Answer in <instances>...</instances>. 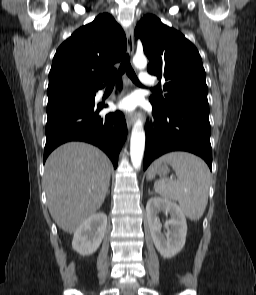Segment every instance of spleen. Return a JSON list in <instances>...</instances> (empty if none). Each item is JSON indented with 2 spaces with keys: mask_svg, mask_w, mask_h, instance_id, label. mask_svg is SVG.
<instances>
[{
  "mask_svg": "<svg viewBox=\"0 0 256 295\" xmlns=\"http://www.w3.org/2000/svg\"><path fill=\"white\" fill-rule=\"evenodd\" d=\"M168 163L174 169L177 180L162 178L154 183L155 191L169 200H176L185 215L197 221L208 203L210 171L199 157L186 152H172L157 159L148 171V178L155 176L157 167Z\"/></svg>",
  "mask_w": 256,
  "mask_h": 295,
  "instance_id": "spleen-1",
  "label": "spleen"
}]
</instances>
